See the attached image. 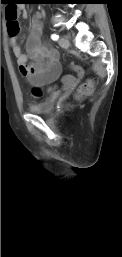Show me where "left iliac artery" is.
Masks as SVG:
<instances>
[{
    "label": "left iliac artery",
    "instance_id": "44dca946",
    "mask_svg": "<svg viewBox=\"0 0 122 257\" xmlns=\"http://www.w3.org/2000/svg\"><path fill=\"white\" fill-rule=\"evenodd\" d=\"M51 39L54 40V41H57L59 39V35L57 34H52L51 35Z\"/></svg>",
    "mask_w": 122,
    "mask_h": 257
}]
</instances>
